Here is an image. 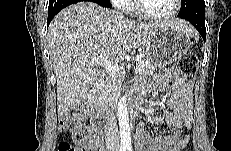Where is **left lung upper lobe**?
I'll return each mask as SVG.
<instances>
[{"mask_svg": "<svg viewBox=\"0 0 231 151\" xmlns=\"http://www.w3.org/2000/svg\"><path fill=\"white\" fill-rule=\"evenodd\" d=\"M192 0H182L181 2V9L185 8L189 2H191Z\"/></svg>", "mask_w": 231, "mask_h": 151, "instance_id": "obj_1", "label": "left lung upper lobe"}]
</instances>
